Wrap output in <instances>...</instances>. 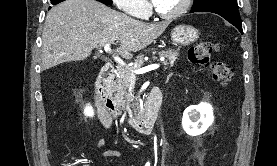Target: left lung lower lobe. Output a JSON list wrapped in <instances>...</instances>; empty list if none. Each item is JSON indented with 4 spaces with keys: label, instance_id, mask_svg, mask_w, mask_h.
<instances>
[{
    "label": "left lung lower lobe",
    "instance_id": "1",
    "mask_svg": "<svg viewBox=\"0 0 277 166\" xmlns=\"http://www.w3.org/2000/svg\"><path fill=\"white\" fill-rule=\"evenodd\" d=\"M196 12L216 13L222 16L223 18H225L231 24H233L241 32V34H243L242 22H241V18L238 10H232V9H226V8H211V9H205V10H200ZM190 13H193V12H190Z\"/></svg>",
    "mask_w": 277,
    "mask_h": 166
}]
</instances>
